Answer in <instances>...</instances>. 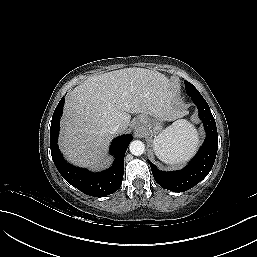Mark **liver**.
Masks as SVG:
<instances>
[{
	"instance_id": "liver-1",
	"label": "liver",
	"mask_w": 257,
	"mask_h": 257,
	"mask_svg": "<svg viewBox=\"0 0 257 257\" xmlns=\"http://www.w3.org/2000/svg\"><path fill=\"white\" fill-rule=\"evenodd\" d=\"M165 120L183 116L169 79L153 70L124 68L91 76L66 97L59 145L69 161L99 168L113 137L109 128L127 130L130 113H156Z\"/></svg>"
}]
</instances>
